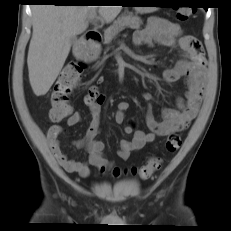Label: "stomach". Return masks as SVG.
Instances as JSON below:
<instances>
[{
  "label": "stomach",
  "instance_id": "obj_1",
  "mask_svg": "<svg viewBox=\"0 0 231 231\" xmlns=\"http://www.w3.org/2000/svg\"><path fill=\"white\" fill-rule=\"evenodd\" d=\"M139 4H158L159 2L156 0H139L136 1ZM152 6V5H151ZM158 9V7H135V11L137 13H150V12H154ZM99 53L98 49H94V51L92 53H90V55H88V59H94L95 57H97Z\"/></svg>",
  "mask_w": 231,
  "mask_h": 231
}]
</instances>
